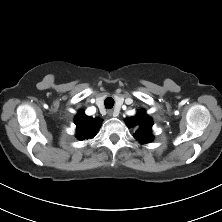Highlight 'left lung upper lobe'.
Segmentation results:
<instances>
[{"instance_id":"obj_1","label":"left lung upper lobe","mask_w":222,"mask_h":222,"mask_svg":"<svg viewBox=\"0 0 222 222\" xmlns=\"http://www.w3.org/2000/svg\"><path fill=\"white\" fill-rule=\"evenodd\" d=\"M125 122L128 127H138L134 137L140 143H148L153 140L152 119L146 115L144 110H140L135 117L126 118Z\"/></svg>"}]
</instances>
